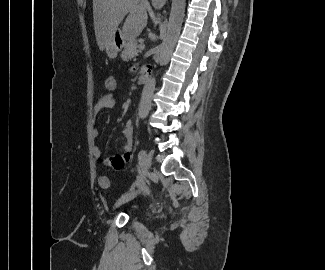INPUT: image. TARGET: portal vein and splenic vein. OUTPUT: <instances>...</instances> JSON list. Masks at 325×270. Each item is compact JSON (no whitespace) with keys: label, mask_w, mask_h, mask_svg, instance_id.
Returning <instances> with one entry per match:
<instances>
[{"label":"portal vein and splenic vein","mask_w":325,"mask_h":270,"mask_svg":"<svg viewBox=\"0 0 325 270\" xmlns=\"http://www.w3.org/2000/svg\"><path fill=\"white\" fill-rule=\"evenodd\" d=\"M144 48H145V45L144 44L139 45V49L140 50H143Z\"/></svg>","instance_id":"portal-vein-and-splenic-vein-1"}]
</instances>
